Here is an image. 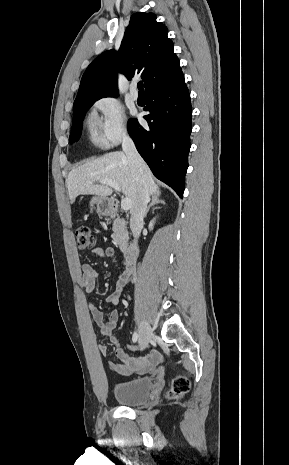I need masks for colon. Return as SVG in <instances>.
Segmentation results:
<instances>
[{
	"label": "colon",
	"instance_id": "colon-1",
	"mask_svg": "<svg viewBox=\"0 0 289 465\" xmlns=\"http://www.w3.org/2000/svg\"><path fill=\"white\" fill-rule=\"evenodd\" d=\"M77 246L81 250L90 249L95 244V239L91 229L88 226H81L76 230ZM189 382L185 378L175 380L173 385L172 396H181L189 390Z\"/></svg>",
	"mask_w": 289,
	"mask_h": 465
}]
</instances>
